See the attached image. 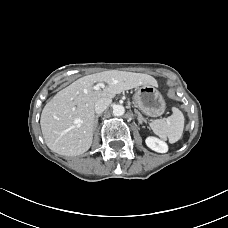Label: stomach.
Listing matches in <instances>:
<instances>
[{"mask_svg": "<svg viewBox=\"0 0 228 228\" xmlns=\"http://www.w3.org/2000/svg\"><path fill=\"white\" fill-rule=\"evenodd\" d=\"M136 107L145 115L157 117L165 111V101L153 85H143L139 87L133 96Z\"/></svg>", "mask_w": 228, "mask_h": 228, "instance_id": "0dacf381", "label": "stomach"}]
</instances>
